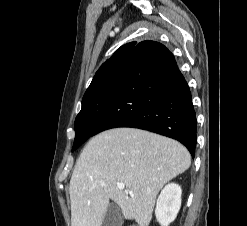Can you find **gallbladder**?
<instances>
[{"mask_svg": "<svg viewBox=\"0 0 247 226\" xmlns=\"http://www.w3.org/2000/svg\"><path fill=\"white\" fill-rule=\"evenodd\" d=\"M122 223L123 214L121 208L115 203L110 204L101 226H122Z\"/></svg>", "mask_w": 247, "mask_h": 226, "instance_id": "bac80fb5", "label": "gallbladder"}]
</instances>
